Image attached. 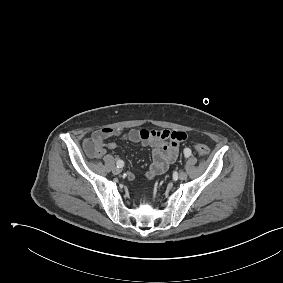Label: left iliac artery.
<instances>
[{
  "instance_id": "left-iliac-artery-1",
  "label": "left iliac artery",
  "mask_w": 283,
  "mask_h": 283,
  "mask_svg": "<svg viewBox=\"0 0 283 283\" xmlns=\"http://www.w3.org/2000/svg\"><path fill=\"white\" fill-rule=\"evenodd\" d=\"M184 154H185V157H186V158L189 157L190 154H191L190 149L186 148V149L184 150Z\"/></svg>"
}]
</instances>
